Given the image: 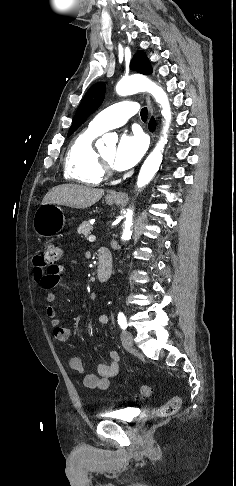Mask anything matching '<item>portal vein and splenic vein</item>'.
<instances>
[{
	"instance_id": "portal-vein-and-splenic-vein-1",
	"label": "portal vein and splenic vein",
	"mask_w": 236,
	"mask_h": 486,
	"mask_svg": "<svg viewBox=\"0 0 236 486\" xmlns=\"http://www.w3.org/2000/svg\"><path fill=\"white\" fill-rule=\"evenodd\" d=\"M88 240H89L90 242H93V241H95V240H96V237H95L94 235H90V236L88 237Z\"/></svg>"
}]
</instances>
